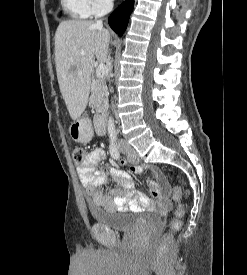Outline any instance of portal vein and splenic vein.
<instances>
[{
	"label": "portal vein and splenic vein",
	"mask_w": 247,
	"mask_h": 275,
	"mask_svg": "<svg viewBox=\"0 0 247 275\" xmlns=\"http://www.w3.org/2000/svg\"><path fill=\"white\" fill-rule=\"evenodd\" d=\"M82 54H84V53H82ZM105 73H106V67H105V65L104 64H99L98 67H97V69H96V76L98 78H101V77H103L105 75Z\"/></svg>",
	"instance_id": "1"
}]
</instances>
